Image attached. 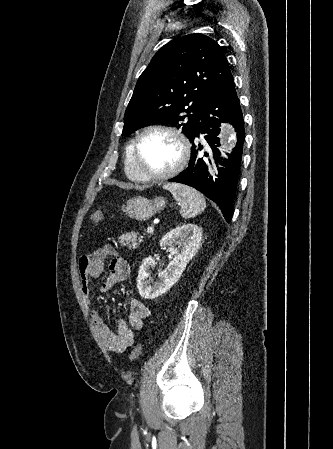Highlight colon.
Returning a JSON list of instances; mask_svg holds the SVG:
<instances>
[{
	"instance_id": "colon-1",
	"label": "colon",
	"mask_w": 333,
	"mask_h": 449,
	"mask_svg": "<svg viewBox=\"0 0 333 449\" xmlns=\"http://www.w3.org/2000/svg\"><path fill=\"white\" fill-rule=\"evenodd\" d=\"M105 217V213L101 210H97L95 211L92 215H91V220L93 223H99L100 221H102ZM142 352V345L141 344H137L133 347V349L130 352V360L131 361H135L137 360Z\"/></svg>"
}]
</instances>
